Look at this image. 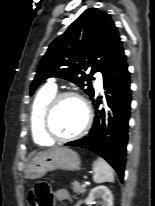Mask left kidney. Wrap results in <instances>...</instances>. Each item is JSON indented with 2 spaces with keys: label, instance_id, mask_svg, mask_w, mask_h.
Returning a JSON list of instances; mask_svg holds the SVG:
<instances>
[{
  "label": "left kidney",
  "instance_id": "1",
  "mask_svg": "<svg viewBox=\"0 0 155 206\" xmlns=\"http://www.w3.org/2000/svg\"><path fill=\"white\" fill-rule=\"evenodd\" d=\"M96 198L102 200V206H113V195L104 185L93 188L85 199V204L90 205Z\"/></svg>",
  "mask_w": 155,
  "mask_h": 206
}]
</instances>
